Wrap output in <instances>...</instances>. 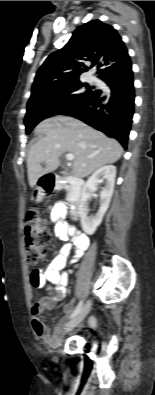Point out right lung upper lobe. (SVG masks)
I'll return each mask as SVG.
<instances>
[{
    "label": "right lung upper lobe",
    "instance_id": "1",
    "mask_svg": "<svg viewBox=\"0 0 155 395\" xmlns=\"http://www.w3.org/2000/svg\"><path fill=\"white\" fill-rule=\"evenodd\" d=\"M87 61L92 62L90 67L85 65ZM131 64L118 32L100 20L89 21L74 31L63 48L48 56L37 71L31 96L49 85L78 80L83 72L95 65L101 78Z\"/></svg>",
    "mask_w": 155,
    "mask_h": 395
}]
</instances>
